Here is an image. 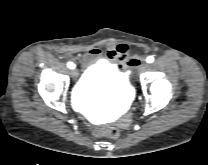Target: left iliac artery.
<instances>
[{"mask_svg":"<svg viewBox=\"0 0 208 165\" xmlns=\"http://www.w3.org/2000/svg\"><path fill=\"white\" fill-rule=\"evenodd\" d=\"M146 61L148 63H152L154 61V58L152 56L147 57Z\"/></svg>","mask_w":208,"mask_h":165,"instance_id":"left-iliac-artery-1","label":"left iliac artery"}]
</instances>
